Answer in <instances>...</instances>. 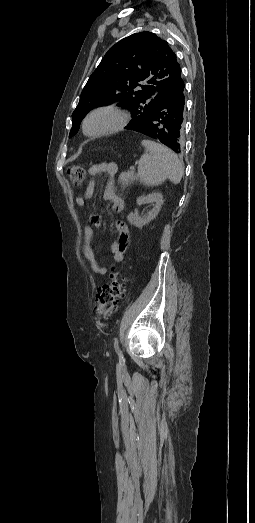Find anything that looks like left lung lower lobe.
<instances>
[{"label": "left lung lower lobe", "instance_id": "left-lung-lower-lobe-1", "mask_svg": "<svg viewBox=\"0 0 255 523\" xmlns=\"http://www.w3.org/2000/svg\"><path fill=\"white\" fill-rule=\"evenodd\" d=\"M185 81H180L171 92L164 93V99L158 109H154L153 115L148 118L147 123L136 127L141 132V135L146 134L147 137H155V140H160V145L165 148L170 147L174 152H180L183 140L182 131L184 106L187 103L183 96Z\"/></svg>", "mask_w": 255, "mask_h": 523}]
</instances>
